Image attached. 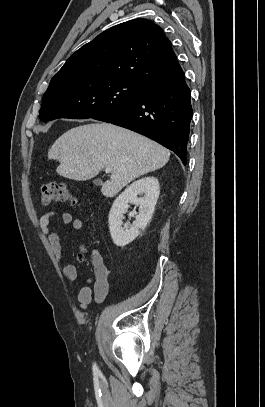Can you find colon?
Listing matches in <instances>:
<instances>
[{
    "label": "colon",
    "instance_id": "5ec220e1",
    "mask_svg": "<svg viewBox=\"0 0 265 407\" xmlns=\"http://www.w3.org/2000/svg\"><path fill=\"white\" fill-rule=\"evenodd\" d=\"M41 201L44 205H49L54 202L78 203V199L71 189L64 184L55 182L42 185Z\"/></svg>",
    "mask_w": 265,
    "mask_h": 407
}]
</instances>
